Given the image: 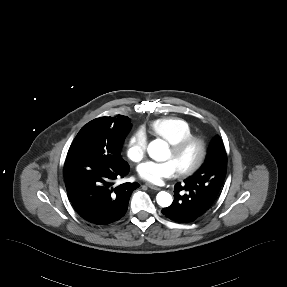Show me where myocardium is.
Segmentation results:
<instances>
[{
	"instance_id": "1",
	"label": "myocardium",
	"mask_w": 287,
	"mask_h": 287,
	"mask_svg": "<svg viewBox=\"0 0 287 287\" xmlns=\"http://www.w3.org/2000/svg\"><path fill=\"white\" fill-rule=\"evenodd\" d=\"M192 147L197 149L196 158L192 163L178 170L181 176H189L202 166L207 155L206 142L201 137L193 135L181 140L176 144L170 145V150L174 156H180Z\"/></svg>"
}]
</instances>
